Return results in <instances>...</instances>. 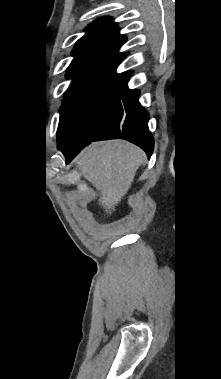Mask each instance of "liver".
<instances>
[{"label":"liver","mask_w":221,"mask_h":379,"mask_svg":"<svg viewBox=\"0 0 221 379\" xmlns=\"http://www.w3.org/2000/svg\"><path fill=\"white\" fill-rule=\"evenodd\" d=\"M144 153L135 145L120 140L94 142L75 159L82 175L99 192V204L107 214L125 196Z\"/></svg>","instance_id":"6515ba94"}]
</instances>
